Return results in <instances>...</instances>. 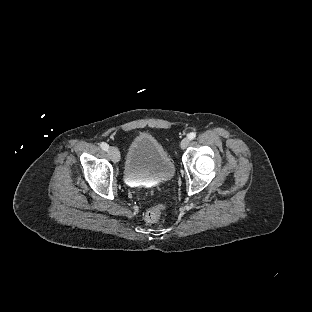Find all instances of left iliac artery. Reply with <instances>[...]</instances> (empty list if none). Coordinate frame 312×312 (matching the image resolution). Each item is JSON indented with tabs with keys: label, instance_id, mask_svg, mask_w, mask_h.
<instances>
[{
	"label": "left iliac artery",
	"instance_id": "1",
	"mask_svg": "<svg viewBox=\"0 0 312 312\" xmlns=\"http://www.w3.org/2000/svg\"><path fill=\"white\" fill-rule=\"evenodd\" d=\"M195 137H196V133L195 132H191V133L188 134V138L190 140L194 139Z\"/></svg>",
	"mask_w": 312,
	"mask_h": 312
}]
</instances>
